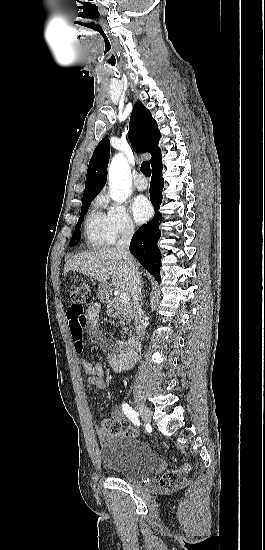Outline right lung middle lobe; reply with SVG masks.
I'll list each match as a JSON object with an SVG mask.
<instances>
[{
  "instance_id": "right-lung-middle-lobe-1",
  "label": "right lung middle lobe",
  "mask_w": 265,
  "mask_h": 550,
  "mask_svg": "<svg viewBox=\"0 0 265 550\" xmlns=\"http://www.w3.org/2000/svg\"><path fill=\"white\" fill-rule=\"evenodd\" d=\"M93 199H94V198H87V199H83V200H82V207H81L80 218H79V220H78V223H77V225H76V227H75V231H74V233H73V235H72V238H71V240H70V243H69L70 246H76L77 243L79 242V239H80V232H79V230H80L81 222H82V220H83V218H84V215H85L86 211L88 210V208H89V206H90V204H91V201H92Z\"/></svg>"
}]
</instances>
